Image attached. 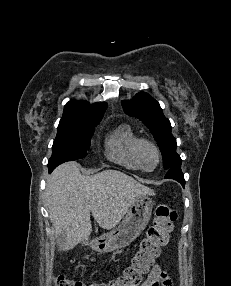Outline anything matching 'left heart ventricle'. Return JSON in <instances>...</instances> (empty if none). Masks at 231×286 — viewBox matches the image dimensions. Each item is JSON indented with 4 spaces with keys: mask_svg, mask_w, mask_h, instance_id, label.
<instances>
[{
    "mask_svg": "<svg viewBox=\"0 0 231 286\" xmlns=\"http://www.w3.org/2000/svg\"><path fill=\"white\" fill-rule=\"evenodd\" d=\"M142 161L146 169L149 170L153 169L157 162L155 152L151 148L146 147L143 150Z\"/></svg>",
    "mask_w": 231,
    "mask_h": 286,
    "instance_id": "obj_1",
    "label": "left heart ventricle"
}]
</instances>
